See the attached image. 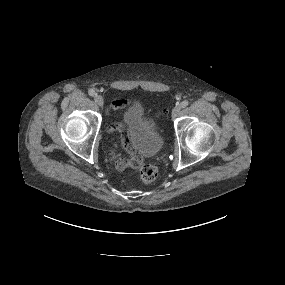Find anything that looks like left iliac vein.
Listing matches in <instances>:
<instances>
[{"instance_id": "left-iliac-vein-1", "label": "left iliac vein", "mask_w": 285, "mask_h": 285, "mask_svg": "<svg viewBox=\"0 0 285 285\" xmlns=\"http://www.w3.org/2000/svg\"><path fill=\"white\" fill-rule=\"evenodd\" d=\"M180 111H181V107L179 105L175 106L172 110V117L175 118L176 116H178Z\"/></svg>"}]
</instances>
